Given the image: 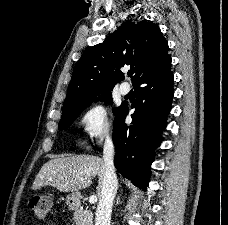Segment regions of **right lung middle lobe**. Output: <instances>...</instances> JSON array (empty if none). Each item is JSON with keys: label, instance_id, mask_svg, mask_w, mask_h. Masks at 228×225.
Listing matches in <instances>:
<instances>
[{"label": "right lung middle lobe", "instance_id": "obj_1", "mask_svg": "<svg viewBox=\"0 0 228 225\" xmlns=\"http://www.w3.org/2000/svg\"><path fill=\"white\" fill-rule=\"evenodd\" d=\"M99 99H101L102 101H105L108 104H112L111 93H105V94H102L100 97H93L88 100L63 107L62 117L59 122V128L60 129L68 128L71 125V123L78 117L81 111H83L87 106H89L92 101H98ZM120 108L121 106L117 107L114 110L115 115L119 112Z\"/></svg>", "mask_w": 228, "mask_h": 225}]
</instances>
